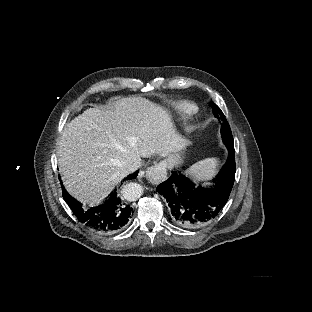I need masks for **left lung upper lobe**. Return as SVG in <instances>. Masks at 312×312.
<instances>
[{"label": "left lung upper lobe", "instance_id": "left-lung-upper-lobe-1", "mask_svg": "<svg viewBox=\"0 0 312 312\" xmlns=\"http://www.w3.org/2000/svg\"><path fill=\"white\" fill-rule=\"evenodd\" d=\"M212 110L215 117L220 118L222 120L221 133L224 143L226 145H234L230 126L226 118L223 116L221 109L215 103H212Z\"/></svg>", "mask_w": 312, "mask_h": 312}]
</instances>
